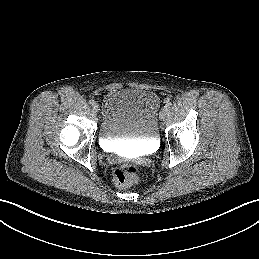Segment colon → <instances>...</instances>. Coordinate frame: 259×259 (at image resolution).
<instances>
[{"label": "colon", "instance_id": "colon-1", "mask_svg": "<svg viewBox=\"0 0 259 259\" xmlns=\"http://www.w3.org/2000/svg\"><path fill=\"white\" fill-rule=\"evenodd\" d=\"M114 183L120 188H127L139 181V170L135 165L122 164L113 171Z\"/></svg>", "mask_w": 259, "mask_h": 259}]
</instances>
